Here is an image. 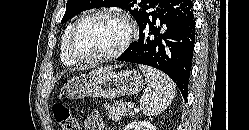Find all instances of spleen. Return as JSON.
Instances as JSON below:
<instances>
[{"instance_id": "obj_1", "label": "spleen", "mask_w": 249, "mask_h": 130, "mask_svg": "<svg viewBox=\"0 0 249 130\" xmlns=\"http://www.w3.org/2000/svg\"><path fill=\"white\" fill-rule=\"evenodd\" d=\"M148 82V87L140 99V109L144 115L155 116L163 112L175 96V84L163 72L145 65H139Z\"/></svg>"}]
</instances>
